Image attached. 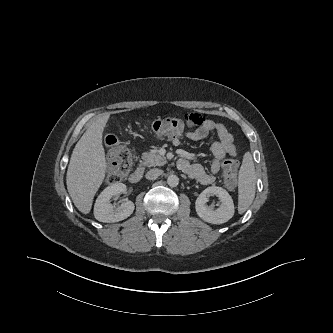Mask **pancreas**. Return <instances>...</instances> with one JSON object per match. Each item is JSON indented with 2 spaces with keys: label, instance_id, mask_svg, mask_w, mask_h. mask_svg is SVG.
I'll return each instance as SVG.
<instances>
[{
  "label": "pancreas",
  "instance_id": "obj_1",
  "mask_svg": "<svg viewBox=\"0 0 333 333\" xmlns=\"http://www.w3.org/2000/svg\"><path fill=\"white\" fill-rule=\"evenodd\" d=\"M166 162V159L156 153L154 150L142 154L141 165L144 167L161 166Z\"/></svg>",
  "mask_w": 333,
  "mask_h": 333
}]
</instances>
